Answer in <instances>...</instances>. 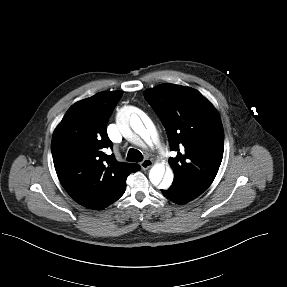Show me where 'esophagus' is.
Wrapping results in <instances>:
<instances>
[{"label": "esophagus", "instance_id": "obj_1", "mask_svg": "<svg viewBox=\"0 0 287 287\" xmlns=\"http://www.w3.org/2000/svg\"><path fill=\"white\" fill-rule=\"evenodd\" d=\"M141 168L143 170L149 169L153 165V161L151 159H144L141 163Z\"/></svg>", "mask_w": 287, "mask_h": 287}]
</instances>
